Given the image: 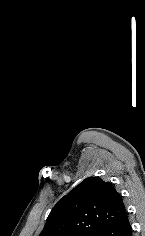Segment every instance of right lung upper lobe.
Masks as SVG:
<instances>
[{
    "mask_svg": "<svg viewBox=\"0 0 145 236\" xmlns=\"http://www.w3.org/2000/svg\"><path fill=\"white\" fill-rule=\"evenodd\" d=\"M125 212L110 182L88 177L53 207L39 236H96Z\"/></svg>",
    "mask_w": 145,
    "mask_h": 236,
    "instance_id": "cb5924a9",
    "label": "right lung upper lobe"
}]
</instances>
